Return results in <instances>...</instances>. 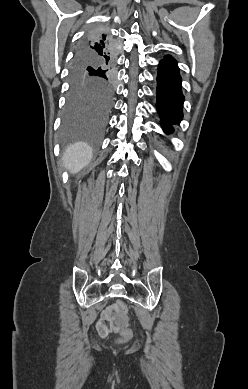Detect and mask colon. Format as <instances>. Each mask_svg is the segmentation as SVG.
<instances>
[{
    "label": "colon",
    "mask_w": 248,
    "mask_h": 389,
    "mask_svg": "<svg viewBox=\"0 0 248 389\" xmlns=\"http://www.w3.org/2000/svg\"><path fill=\"white\" fill-rule=\"evenodd\" d=\"M118 313L119 323L113 320L106 319L103 322H99L97 327L103 329L104 332L111 329H118L123 340H130L133 337L132 331L126 326L128 320V307L123 301H117L114 305Z\"/></svg>",
    "instance_id": "5ec220e1"
}]
</instances>
